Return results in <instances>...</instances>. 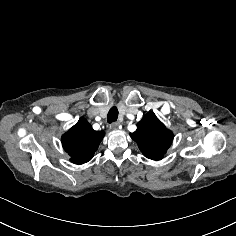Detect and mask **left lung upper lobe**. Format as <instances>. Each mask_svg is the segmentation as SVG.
Listing matches in <instances>:
<instances>
[{
  "instance_id": "1",
  "label": "left lung upper lobe",
  "mask_w": 236,
  "mask_h": 236,
  "mask_svg": "<svg viewBox=\"0 0 236 236\" xmlns=\"http://www.w3.org/2000/svg\"><path fill=\"white\" fill-rule=\"evenodd\" d=\"M143 155L152 160H161L173 140V133L159 121L153 112H148L130 134Z\"/></svg>"
}]
</instances>
